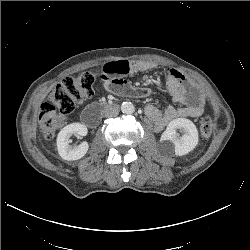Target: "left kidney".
<instances>
[{"instance_id": "1", "label": "left kidney", "mask_w": 250, "mask_h": 250, "mask_svg": "<svg viewBox=\"0 0 250 250\" xmlns=\"http://www.w3.org/2000/svg\"><path fill=\"white\" fill-rule=\"evenodd\" d=\"M177 130L182 136L179 137ZM198 131L195 124L186 118L172 120L162 133L160 142L166 154L183 156L191 152L198 144Z\"/></svg>"}]
</instances>
